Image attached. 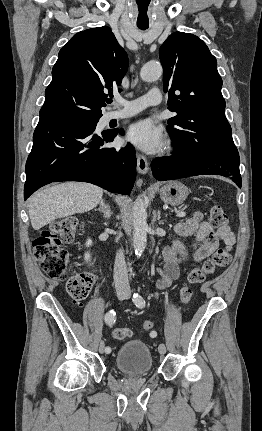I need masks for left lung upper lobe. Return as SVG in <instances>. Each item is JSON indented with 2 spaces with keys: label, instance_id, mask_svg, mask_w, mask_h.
Wrapping results in <instances>:
<instances>
[{
  "label": "left lung upper lobe",
  "instance_id": "obj_1",
  "mask_svg": "<svg viewBox=\"0 0 262 431\" xmlns=\"http://www.w3.org/2000/svg\"><path fill=\"white\" fill-rule=\"evenodd\" d=\"M159 56L168 109L177 112L167 126L175 151L207 157L235 146L224 114L222 79L207 45L193 34L175 32L162 44Z\"/></svg>",
  "mask_w": 262,
  "mask_h": 431
}]
</instances>
